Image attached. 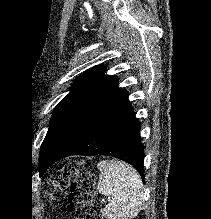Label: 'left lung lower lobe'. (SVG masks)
Returning a JSON list of instances; mask_svg holds the SVG:
<instances>
[{"label":"left lung lower lobe","mask_w":211,"mask_h":219,"mask_svg":"<svg viewBox=\"0 0 211 219\" xmlns=\"http://www.w3.org/2000/svg\"><path fill=\"white\" fill-rule=\"evenodd\" d=\"M139 133L140 123L128 94L116 83L74 124L48 160L40 158L39 173L68 156L106 155L129 162L144 180V146Z\"/></svg>","instance_id":"1"}]
</instances>
